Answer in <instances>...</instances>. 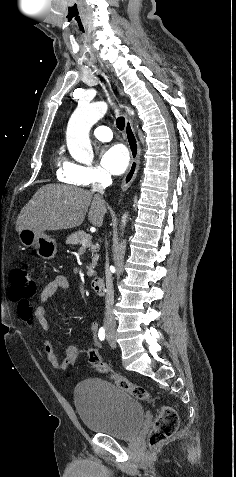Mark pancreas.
<instances>
[{
	"mask_svg": "<svg viewBox=\"0 0 236 477\" xmlns=\"http://www.w3.org/2000/svg\"><path fill=\"white\" fill-rule=\"evenodd\" d=\"M83 239H88L90 242L86 247H82L83 252H85L86 248H91L93 252V262L87 272L88 276L91 277L95 275L94 267L97 264L98 259L97 254H95L97 252V247L91 244V236L86 232L79 230L67 237L66 244L78 245L81 244Z\"/></svg>",
	"mask_w": 236,
	"mask_h": 477,
	"instance_id": "1",
	"label": "pancreas"
}]
</instances>
